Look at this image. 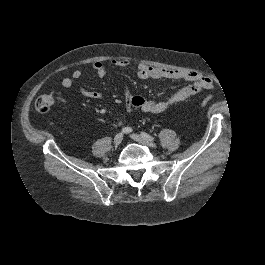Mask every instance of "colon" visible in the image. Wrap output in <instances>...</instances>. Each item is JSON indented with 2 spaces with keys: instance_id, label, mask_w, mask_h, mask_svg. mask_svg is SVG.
Masks as SVG:
<instances>
[{
  "instance_id": "colon-1",
  "label": "colon",
  "mask_w": 265,
  "mask_h": 265,
  "mask_svg": "<svg viewBox=\"0 0 265 265\" xmlns=\"http://www.w3.org/2000/svg\"><path fill=\"white\" fill-rule=\"evenodd\" d=\"M58 98L59 94L57 93L43 94L35 100V108L39 112H47L54 106ZM210 100V96L205 97L201 101V106L207 105Z\"/></svg>"
}]
</instances>
